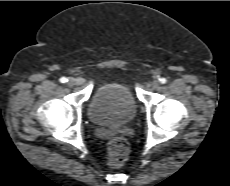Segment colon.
I'll return each instance as SVG.
<instances>
[{
	"label": "colon",
	"mask_w": 230,
	"mask_h": 186,
	"mask_svg": "<svg viewBox=\"0 0 230 186\" xmlns=\"http://www.w3.org/2000/svg\"><path fill=\"white\" fill-rule=\"evenodd\" d=\"M129 156L127 141L122 137L112 138L107 144L106 160L109 166L117 168L122 166Z\"/></svg>",
	"instance_id": "obj_1"
}]
</instances>
